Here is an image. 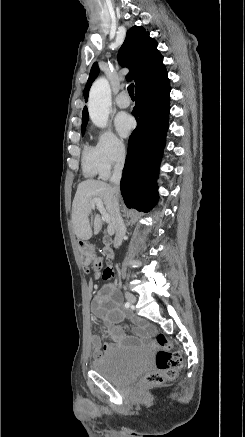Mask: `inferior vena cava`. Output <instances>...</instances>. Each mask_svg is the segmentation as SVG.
<instances>
[{
	"mask_svg": "<svg viewBox=\"0 0 245 437\" xmlns=\"http://www.w3.org/2000/svg\"><path fill=\"white\" fill-rule=\"evenodd\" d=\"M124 160H125V148L122 145L119 148V151L117 153L116 157V163L114 165L113 174L110 178V183L112 184L113 191L115 193L114 197V210H115V217H116V235L114 238V247L118 248L122 243V237L126 231V227L124 225V221L121 217L120 210H119V203L117 195L119 194V185H120V179L122 175V169L124 166Z\"/></svg>",
	"mask_w": 245,
	"mask_h": 437,
	"instance_id": "obj_1",
	"label": "inferior vena cava"
}]
</instances>
